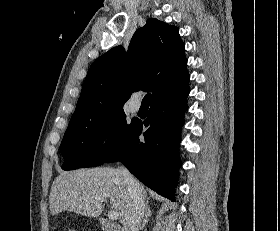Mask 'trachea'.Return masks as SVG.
<instances>
[{
  "mask_svg": "<svg viewBox=\"0 0 280 231\" xmlns=\"http://www.w3.org/2000/svg\"><path fill=\"white\" fill-rule=\"evenodd\" d=\"M150 97H151V94L147 93V95H145L143 100H142V105H147L148 106V104L150 102Z\"/></svg>",
  "mask_w": 280,
  "mask_h": 231,
  "instance_id": "3493384b",
  "label": "trachea"
}]
</instances>
